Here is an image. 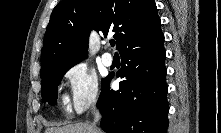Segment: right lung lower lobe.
<instances>
[{
	"label": "right lung lower lobe",
	"mask_w": 221,
	"mask_h": 133,
	"mask_svg": "<svg viewBox=\"0 0 221 133\" xmlns=\"http://www.w3.org/2000/svg\"><path fill=\"white\" fill-rule=\"evenodd\" d=\"M164 35L128 44L121 51L117 76L120 89H110L113 76L103 80L97 106L107 133H166L169 110L166 94Z\"/></svg>",
	"instance_id": "obj_1"
}]
</instances>
